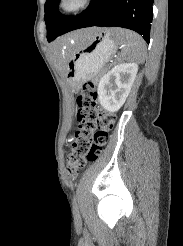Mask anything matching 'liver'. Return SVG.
<instances>
[{"label": "liver", "mask_w": 183, "mask_h": 246, "mask_svg": "<svg viewBox=\"0 0 183 246\" xmlns=\"http://www.w3.org/2000/svg\"><path fill=\"white\" fill-rule=\"evenodd\" d=\"M99 28H89V29H83L79 30L77 32H74L64 38H61L60 40L56 41L53 45L55 54L59 61L61 62V70L62 73L66 72V64L68 61V57L64 52V46L65 44L72 40L75 39L80 43H84L90 39L93 38L94 35L99 31Z\"/></svg>", "instance_id": "1"}]
</instances>
